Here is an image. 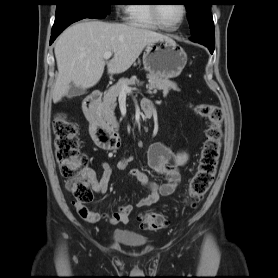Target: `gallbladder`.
<instances>
[{
    "mask_svg": "<svg viewBox=\"0 0 278 278\" xmlns=\"http://www.w3.org/2000/svg\"><path fill=\"white\" fill-rule=\"evenodd\" d=\"M85 93H86L85 89H83L81 87H78V86H75V85H72L70 87V89L68 90V92L66 94V97L67 98H73V97L81 96Z\"/></svg>",
    "mask_w": 278,
    "mask_h": 278,
    "instance_id": "1",
    "label": "gallbladder"
}]
</instances>
